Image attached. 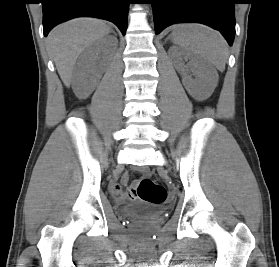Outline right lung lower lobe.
Wrapping results in <instances>:
<instances>
[{
  "label": "right lung lower lobe",
  "instance_id": "1",
  "mask_svg": "<svg viewBox=\"0 0 279 267\" xmlns=\"http://www.w3.org/2000/svg\"><path fill=\"white\" fill-rule=\"evenodd\" d=\"M129 0H43L44 36L57 24L90 16L113 22L125 35Z\"/></svg>",
  "mask_w": 279,
  "mask_h": 267
}]
</instances>
